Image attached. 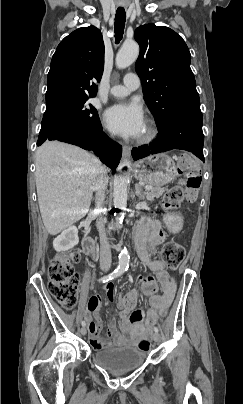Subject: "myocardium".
Masks as SVG:
<instances>
[{
    "mask_svg": "<svg viewBox=\"0 0 243 404\" xmlns=\"http://www.w3.org/2000/svg\"><path fill=\"white\" fill-rule=\"evenodd\" d=\"M159 135V127L157 123L149 119L147 128L143 136L138 140L139 144H149L152 143Z\"/></svg>",
    "mask_w": 243,
    "mask_h": 404,
    "instance_id": "f54148a6",
    "label": "myocardium"
}]
</instances>
